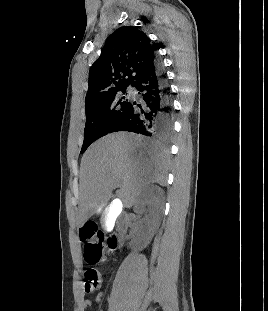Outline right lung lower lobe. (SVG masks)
Here are the masks:
<instances>
[{
	"instance_id": "obj_1",
	"label": "right lung lower lobe",
	"mask_w": 268,
	"mask_h": 311,
	"mask_svg": "<svg viewBox=\"0 0 268 311\" xmlns=\"http://www.w3.org/2000/svg\"><path fill=\"white\" fill-rule=\"evenodd\" d=\"M131 86L138 92V101L128 102L110 133L129 131L168 140L173 133V107L158 56Z\"/></svg>"
}]
</instances>
